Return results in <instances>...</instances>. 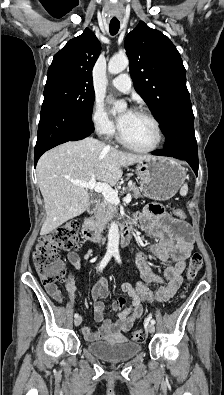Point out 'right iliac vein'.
<instances>
[{
  "label": "right iliac vein",
  "mask_w": 224,
  "mask_h": 395,
  "mask_svg": "<svg viewBox=\"0 0 224 395\" xmlns=\"http://www.w3.org/2000/svg\"><path fill=\"white\" fill-rule=\"evenodd\" d=\"M81 323H82V317H81V316H79L78 318H76V319L74 320V325H75L76 327L79 326Z\"/></svg>",
  "instance_id": "right-iliac-vein-1"
}]
</instances>
